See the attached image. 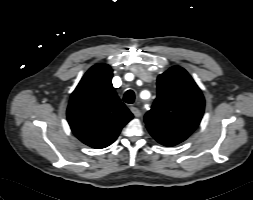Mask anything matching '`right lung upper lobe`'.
Listing matches in <instances>:
<instances>
[{"instance_id":"1","label":"right lung upper lobe","mask_w":253,"mask_h":200,"mask_svg":"<svg viewBox=\"0 0 253 200\" xmlns=\"http://www.w3.org/2000/svg\"><path fill=\"white\" fill-rule=\"evenodd\" d=\"M112 69L107 64L91 67L71 95L67 119L75 136L86 145L109 146L133 114L112 86Z\"/></svg>"}]
</instances>
